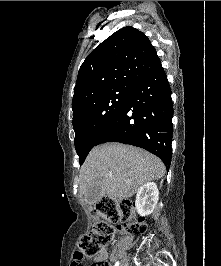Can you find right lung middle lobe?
Here are the masks:
<instances>
[{
  "mask_svg": "<svg viewBox=\"0 0 221 266\" xmlns=\"http://www.w3.org/2000/svg\"><path fill=\"white\" fill-rule=\"evenodd\" d=\"M132 87H116L93 94L81 103L73 114L74 144L84 162L89 151L96 146L101 133L124 108Z\"/></svg>",
  "mask_w": 221,
  "mask_h": 266,
  "instance_id": "obj_1",
  "label": "right lung middle lobe"
}]
</instances>
